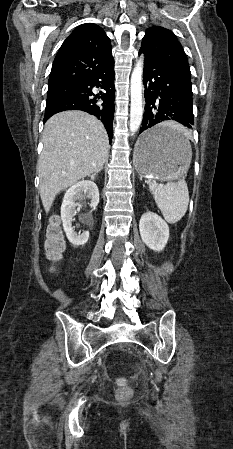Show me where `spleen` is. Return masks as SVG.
Masks as SVG:
<instances>
[{"mask_svg": "<svg viewBox=\"0 0 233 449\" xmlns=\"http://www.w3.org/2000/svg\"><path fill=\"white\" fill-rule=\"evenodd\" d=\"M166 124L175 128L179 133H184L185 136L184 129L177 127L173 122ZM149 189L168 223L174 224L185 215L188 209L189 194L184 179L180 178L178 182H168L165 185L149 181Z\"/></svg>", "mask_w": 233, "mask_h": 449, "instance_id": "spleen-1", "label": "spleen"}]
</instances>
